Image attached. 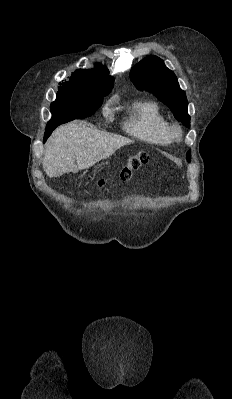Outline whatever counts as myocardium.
Masks as SVG:
<instances>
[{
    "label": "myocardium",
    "mask_w": 232,
    "mask_h": 399,
    "mask_svg": "<svg viewBox=\"0 0 232 399\" xmlns=\"http://www.w3.org/2000/svg\"><path fill=\"white\" fill-rule=\"evenodd\" d=\"M169 132L174 139L179 138L182 134L181 128L177 124H169Z\"/></svg>",
    "instance_id": "obj_1"
}]
</instances>
